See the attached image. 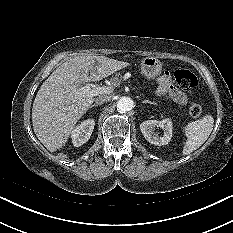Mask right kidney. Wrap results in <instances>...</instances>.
Returning <instances> with one entry per match:
<instances>
[{
  "instance_id": "obj_1",
  "label": "right kidney",
  "mask_w": 233,
  "mask_h": 233,
  "mask_svg": "<svg viewBox=\"0 0 233 233\" xmlns=\"http://www.w3.org/2000/svg\"><path fill=\"white\" fill-rule=\"evenodd\" d=\"M95 121L87 119L77 125L71 133L72 143L75 147H79L86 143L93 132Z\"/></svg>"
}]
</instances>
